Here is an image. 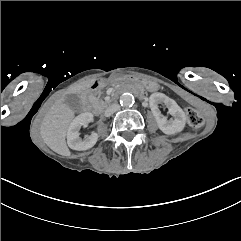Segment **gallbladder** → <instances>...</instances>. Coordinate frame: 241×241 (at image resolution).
Here are the masks:
<instances>
[{
	"mask_svg": "<svg viewBox=\"0 0 241 241\" xmlns=\"http://www.w3.org/2000/svg\"><path fill=\"white\" fill-rule=\"evenodd\" d=\"M65 102L71 111L77 112L82 109L83 103L77 94L66 95Z\"/></svg>",
	"mask_w": 241,
	"mask_h": 241,
	"instance_id": "gallbladder-1",
	"label": "gallbladder"
}]
</instances>
